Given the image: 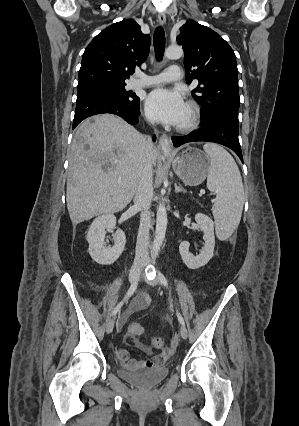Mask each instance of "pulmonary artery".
<instances>
[{
	"instance_id": "e3ab8cb5",
	"label": "pulmonary artery",
	"mask_w": 299,
	"mask_h": 426,
	"mask_svg": "<svg viewBox=\"0 0 299 426\" xmlns=\"http://www.w3.org/2000/svg\"><path fill=\"white\" fill-rule=\"evenodd\" d=\"M182 78V72L179 66L172 65L169 66L163 72L147 76L140 75L138 79L134 80L132 83L133 87H148V86H156L168 82L178 81Z\"/></svg>"
}]
</instances>
